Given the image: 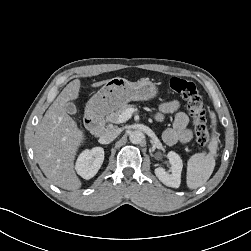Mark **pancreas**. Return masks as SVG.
<instances>
[{
	"label": "pancreas",
	"instance_id": "cf45deb5",
	"mask_svg": "<svg viewBox=\"0 0 251 251\" xmlns=\"http://www.w3.org/2000/svg\"><path fill=\"white\" fill-rule=\"evenodd\" d=\"M129 108H133V106L129 104L121 105L119 109L112 111L109 115L106 116V121L110 123H117L119 115Z\"/></svg>",
	"mask_w": 251,
	"mask_h": 251
}]
</instances>
